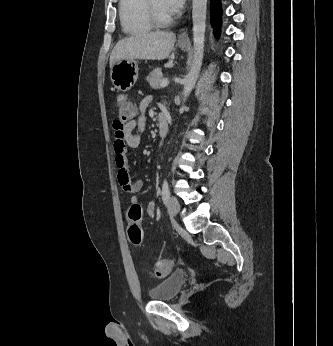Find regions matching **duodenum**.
Masks as SVG:
<instances>
[{"mask_svg": "<svg viewBox=\"0 0 333 346\" xmlns=\"http://www.w3.org/2000/svg\"><path fill=\"white\" fill-rule=\"evenodd\" d=\"M169 131V122L166 116L160 115L158 119V132L160 137H165Z\"/></svg>", "mask_w": 333, "mask_h": 346, "instance_id": "obj_1", "label": "duodenum"}]
</instances>
